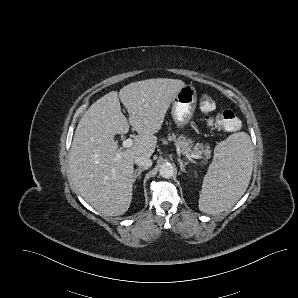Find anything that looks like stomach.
<instances>
[{"instance_id":"stomach-1","label":"stomach","mask_w":298,"mask_h":298,"mask_svg":"<svg viewBox=\"0 0 298 298\" xmlns=\"http://www.w3.org/2000/svg\"><path fill=\"white\" fill-rule=\"evenodd\" d=\"M197 105V90L191 84H185L172 99L171 115L177 126L188 123Z\"/></svg>"}]
</instances>
